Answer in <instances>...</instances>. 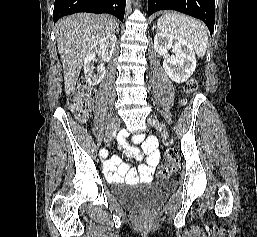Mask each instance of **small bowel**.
Segmentation results:
<instances>
[{
    "mask_svg": "<svg viewBox=\"0 0 257 237\" xmlns=\"http://www.w3.org/2000/svg\"><path fill=\"white\" fill-rule=\"evenodd\" d=\"M121 133L119 141L126 147L128 153L136 159H146V163L140 165L137 169L131 168L123 163L118 155H113L104 164V174L106 178L113 182H137L150 181L160 162V153L157 150V141L154 137H145L142 134L135 135L132 138V144H129ZM140 144L138 148L135 145Z\"/></svg>",
    "mask_w": 257,
    "mask_h": 237,
    "instance_id": "small-bowel-1",
    "label": "small bowel"
}]
</instances>
